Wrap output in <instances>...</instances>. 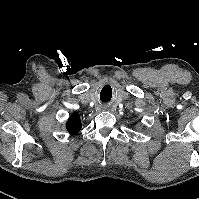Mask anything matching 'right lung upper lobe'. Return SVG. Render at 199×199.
<instances>
[{
	"mask_svg": "<svg viewBox=\"0 0 199 199\" xmlns=\"http://www.w3.org/2000/svg\"><path fill=\"white\" fill-rule=\"evenodd\" d=\"M66 128H67L68 132L71 134H76L80 131V129H81L80 116L76 112H74L70 116V118L66 124Z\"/></svg>",
	"mask_w": 199,
	"mask_h": 199,
	"instance_id": "right-lung-upper-lobe-1",
	"label": "right lung upper lobe"
}]
</instances>
